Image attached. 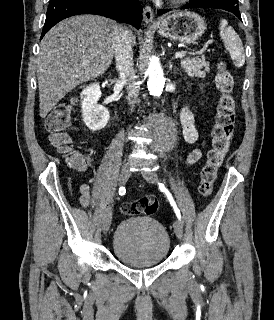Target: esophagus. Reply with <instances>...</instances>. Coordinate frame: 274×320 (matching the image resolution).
Returning <instances> with one entry per match:
<instances>
[{"label":"esophagus","instance_id":"1","mask_svg":"<svg viewBox=\"0 0 274 320\" xmlns=\"http://www.w3.org/2000/svg\"><path fill=\"white\" fill-rule=\"evenodd\" d=\"M143 20L147 24H154V12L150 6H145L143 11Z\"/></svg>","mask_w":274,"mask_h":320}]
</instances>
